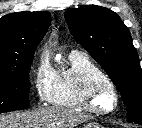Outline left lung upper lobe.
I'll list each match as a JSON object with an SVG mask.
<instances>
[{"label":"left lung upper lobe","mask_w":142,"mask_h":128,"mask_svg":"<svg viewBox=\"0 0 142 128\" xmlns=\"http://www.w3.org/2000/svg\"><path fill=\"white\" fill-rule=\"evenodd\" d=\"M65 18L74 38L117 86L128 122L142 125V69L126 25L115 12L97 5L70 8Z\"/></svg>","instance_id":"left-lung-upper-lobe-1"}]
</instances>
